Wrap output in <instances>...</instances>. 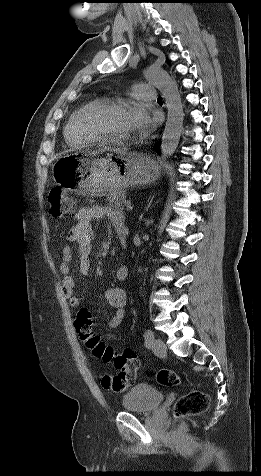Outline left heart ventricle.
Returning <instances> with one entry per match:
<instances>
[{
	"instance_id": "1",
	"label": "left heart ventricle",
	"mask_w": 261,
	"mask_h": 476,
	"mask_svg": "<svg viewBox=\"0 0 261 476\" xmlns=\"http://www.w3.org/2000/svg\"><path fill=\"white\" fill-rule=\"evenodd\" d=\"M131 108L132 107L119 109L100 115L97 119V123L117 135L130 136L133 132L130 121Z\"/></svg>"
}]
</instances>
